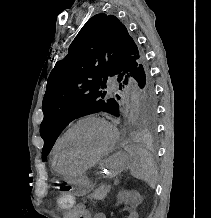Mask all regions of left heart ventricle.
Here are the masks:
<instances>
[{
  "label": "left heart ventricle",
  "mask_w": 211,
  "mask_h": 218,
  "mask_svg": "<svg viewBox=\"0 0 211 218\" xmlns=\"http://www.w3.org/2000/svg\"><path fill=\"white\" fill-rule=\"evenodd\" d=\"M112 141V134L101 121L85 122L73 129L60 147L62 163L84 164L105 151Z\"/></svg>",
  "instance_id": "obj_1"
}]
</instances>
